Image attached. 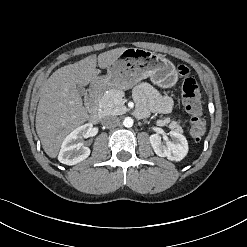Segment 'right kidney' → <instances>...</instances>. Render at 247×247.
<instances>
[{
	"label": "right kidney",
	"instance_id": "1",
	"mask_svg": "<svg viewBox=\"0 0 247 247\" xmlns=\"http://www.w3.org/2000/svg\"><path fill=\"white\" fill-rule=\"evenodd\" d=\"M92 125L87 123L73 130L64 139L58 160L66 165H75L90 155V149L81 144L82 138L88 137Z\"/></svg>",
	"mask_w": 247,
	"mask_h": 247
}]
</instances>
